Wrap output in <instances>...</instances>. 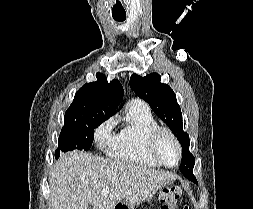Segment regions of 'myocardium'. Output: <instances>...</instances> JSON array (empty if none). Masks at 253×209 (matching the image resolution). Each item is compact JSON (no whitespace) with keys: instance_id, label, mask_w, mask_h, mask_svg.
<instances>
[{"instance_id":"f54148a6","label":"myocardium","mask_w":253,"mask_h":209,"mask_svg":"<svg viewBox=\"0 0 253 209\" xmlns=\"http://www.w3.org/2000/svg\"><path fill=\"white\" fill-rule=\"evenodd\" d=\"M168 135L176 145L177 152H178V159L174 165H167L158 155L156 151L157 143L162 135ZM146 153L147 155L154 160L158 165L163 166L168 169H173L179 166L181 159H182V147L177 138V136L171 131L169 128L166 127H157L155 128L148 136L146 142Z\"/></svg>"}]
</instances>
